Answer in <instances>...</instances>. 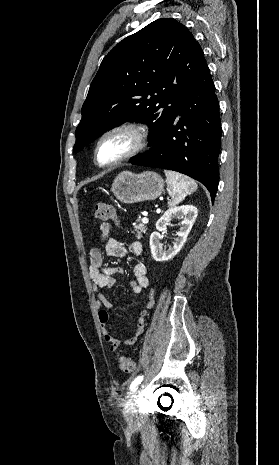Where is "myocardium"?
I'll list each match as a JSON object with an SVG mask.
<instances>
[{
    "instance_id": "myocardium-1",
    "label": "myocardium",
    "mask_w": 279,
    "mask_h": 465,
    "mask_svg": "<svg viewBox=\"0 0 279 465\" xmlns=\"http://www.w3.org/2000/svg\"><path fill=\"white\" fill-rule=\"evenodd\" d=\"M120 131L130 132V133H132L134 135V137H135L134 146L127 153H125L124 155H122L121 157H119V158H117V159H115L113 161L106 162V163L101 162L100 159H99V149H100V146H101L102 142L108 136H110V135H112V134H114L116 132H120ZM149 141H150V131H149L148 127L143 123H140V122H126V123H121V124L115 125V126L109 128V129H107L99 137V139L97 140L96 145H95V149H94L95 161L99 166H102V167H109V166L117 165V164H119V163H121L123 161H126V160L134 157L135 155L139 154L140 152H142L148 146Z\"/></svg>"
}]
</instances>
